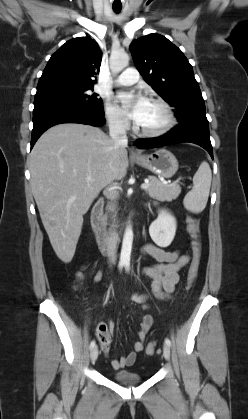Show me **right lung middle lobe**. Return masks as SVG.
Listing matches in <instances>:
<instances>
[{"mask_svg":"<svg viewBox=\"0 0 248 419\" xmlns=\"http://www.w3.org/2000/svg\"><path fill=\"white\" fill-rule=\"evenodd\" d=\"M91 89L92 87H70L39 91L35 95L34 106L55 102H71L82 104L95 112L104 113L102 99H98L97 94H90Z\"/></svg>","mask_w":248,"mask_h":419,"instance_id":"dd1d6c3e","label":"right lung middle lobe"}]
</instances>
